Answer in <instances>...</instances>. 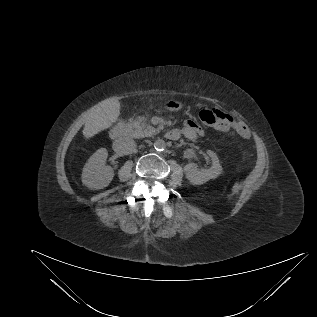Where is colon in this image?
I'll return each instance as SVG.
<instances>
[{
    "mask_svg": "<svg viewBox=\"0 0 317 317\" xmlns=\"http://www.w3.org/2000/svg\"><path fill=\"white\" fill-rule=\"evenodd\" d=\"M199 118L204 124L208 126L219 125L221 122V112L215 109H204L200 111Z\"/></svg>",
    "mask_w": 317,
    "mask_h": 317,
    "instance_id": "obj_1",
    "label": "colon"
}]
</instances>
